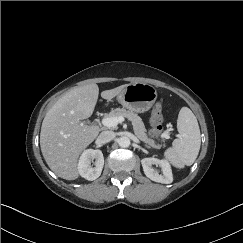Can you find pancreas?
<instances>
[{
  "instance_id": "1",
  "label": "pancreas",
  "mask_w": 243,
  "mask_h": 243,
  "mask_svg": "<svg viewBox=\"0 0 243 243\" xmlns=\"http://www.w3.org/2000/svg\"><path fill=\"white\" fill-rule=\"evenodd\" d=\"M120 116L126 117L132 122L135 135L145 144H147L150 147L160 146L156 144V142L153 139L148 137L144 123L136 113H133L123 108H116L108 114V117H120Z\"/></svg>"
}]
</instances>
